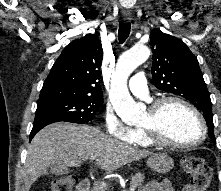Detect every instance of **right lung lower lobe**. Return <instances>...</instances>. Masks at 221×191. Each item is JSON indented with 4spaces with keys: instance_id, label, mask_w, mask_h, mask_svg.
<instances>
[{
    "instance_id": "right-lung-lower-lobe-1",
    "label": "right lung lower lobe",
    "mask_w": 221,
    "mask_h": 191,
    "mask_svg": "<svg viewBox=\"0 0 221 191\" xmlns=\"http://www.w3.org/2000/svg\"><path fill=\"white\" fill-rule=\"evenodd\" d=\"M59 120L49 114L48 112L45 111H38L36 112L35 119H34V124H33V129L30 133V141L34 137V135L41 130L43 127H45L48 124L58 122Z\"/></svg>"
}]
</instances>
